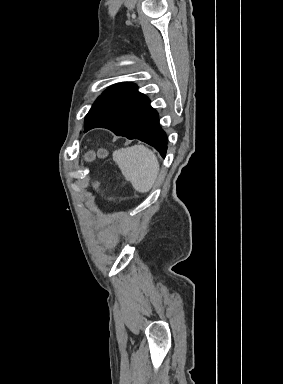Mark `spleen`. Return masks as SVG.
Wrapping results in <instances>:
<instances>
[{
    "label": "spleen",
    "mask_w": 283,
    "mask_h": 384,
    "mask_svg": "<svg viewBox=\"0 0 283 384\" xmlns=\"http://www.w3.org/2000/svg\"><path fill=\"white\" fill-rule=\"evenodd\" d=\"M113 160L136 192H150L159 174V162L152 150L142 144L120 148L113 152Z\"/></svg>",
    "instance_id": "spleen-1"
}]
</instances>
